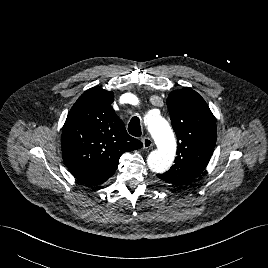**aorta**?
<instances>
[{"label":"aorta","instance_id":"762f6f07","mask_svg":"<svg viewBox=\"0 0 268 268\" xmlns=\"http://www.w3.org/2000/svg\"><path fill=\"white\" fill-rule=\"evenodd\" d=\"M148 129L152 134L158 149L152 151L147 164L151 171L165 172L172 165L176 153V140L167 120L159 114L150 112L146 116Z\"/></svg>","mask_w":268,"mask_h":268}]
</instances>
